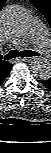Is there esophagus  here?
I'll return each mask as SVG.
<instances>
[{"label": "esophagus", "mask_w": 51, "mask_h": 153, "mask_svg": "<svg viewBox=\"0 0 51 153\" xmlns=\"http://www.w3.org/2000/svg\"><path fill=\"white\" fill-rule=\"evenodd\" d=\"M32 59H33V57H22V58H20V60L24 61V62H30Z\"/></svg>", "instance_id": "34e87169"}]
</instances>
